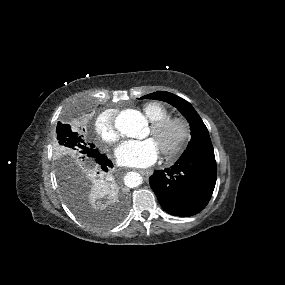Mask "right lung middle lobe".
Instances as JSON below:
<instances>
[{
  "instance_id": "1",
  "label": "right lung middle lobe",
  "mask_w": 285,
  "mask_h": 285,
  "mask_svg": "<svg viewBox=\"0 0 285 285\" xmlns=\"http://www.w3.org/2000/svg\"><path fill=\"white\" fill-rule=\"evenodd\" d=\"M57 142V175L62 194L71 210L84 221L97 227H109L117 223L123 211L110 220H102L93 214L88 205V194L92 185L103 179L95 160L99 151L93 144L84 142L70 125L60 122L57 125Z\"/></svg>"
}]
</instances>
